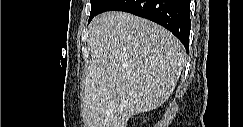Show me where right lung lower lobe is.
Segmentation results:
<instances>
[{"label":"right lung lower lobe","instance_id":"98d812e1","mask_svg":"<svg viewBox=\"0 0 243 127\" xmlns=\"http://www.w3.org/2000/svg\"><path fill=\"white\" fill-rule=\"evenodd\" d=\"M189 7L190 0H106L96 15L118 10L149 19L170 30L189 51Z\"/></svg>","mask_w":243,"mask_h":127}]
</instances>
